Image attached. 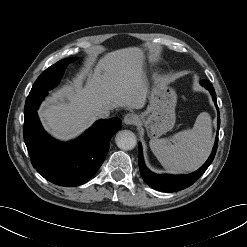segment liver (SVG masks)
<instances>
[{
  "label": "liver",
  "instance_id": "obj_1",
  "mask_svg": "<svg viewBox=\"0 0 247 247\" xmlns=\"http://www.w3.org/2000/svg\"><path fill=\"white\" fill-rule=\"evenodd\" d=\"M144 56L138 47L104 55L85 85L82 77L53 93L42 104L39 116L54 137L75 138L98 118L96 112L116 107L141 109L147 98Z\"/></svg>",
  "mask_w": 247,
  "mask_h": 247
}]
</instances>
